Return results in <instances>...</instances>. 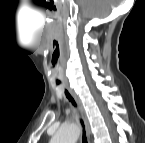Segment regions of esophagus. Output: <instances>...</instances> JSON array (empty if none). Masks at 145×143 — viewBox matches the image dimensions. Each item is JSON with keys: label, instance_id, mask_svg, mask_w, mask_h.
Segmentation results:
<instances>
[{"label": "esophagus", "instance_id": "obj_1", "mask_svg": "<svg viewBox=\"0 0 145 143\" xmlns=\"http://www.w3.org/2000/svg\"><path fill=\"white\" fill-rule=\"evenodd\" d=\"M67 88H68V91L70 92L71 96L73 97V99L75 100V102L78 105L80 115H81V118H82L83 123H84L85 132H86V135H87L89 143H90V126H89V122H88L84 107L82 105V102L72 88H70V87H67Z\"/></svg>", "mask_w": 145, "mask_h": 143}]
</instances>
